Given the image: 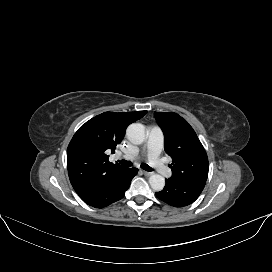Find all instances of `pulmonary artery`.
I'll use <instances>...</instances> for the list:
<instances>
[{"label":"pulmonary artery","mask_w":272,"mask_h":272,"mask_svg":"<svg viewBox=\"0 0 272 272\" xmlns=\"http://www.w3.org/2000/svg\"><path fill=\"white\" fill-rule=\"evenodd\" d=\"M164 145V136L162 131L157 127H150L147 134V141L144 147V152L147 154L149 164L155 168L161 175L170 177L172 175L171 169L166 166L160 159V153ZM139 157L136 152L128 156V158L135 159Z\"/></svg>","instance_id":"e3ab8cb5"}]
</instances>
